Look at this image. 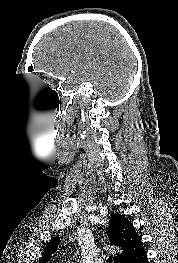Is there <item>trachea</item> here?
<instances>
[{"instance_id": "3493384b", "label": "trachea", "mask_w": 178, "mask_h": 263, "mask_svg": "<svg viewBox=\"0 0 178 263\" xmlns=\"http://www.w3.org/2000/svg\"><path fill=\"white\" fill-rule=\"evenodd\" d=\"M106 261H107V263H112V256L108 257V259Z\"/></svg>"}]
</instances>
